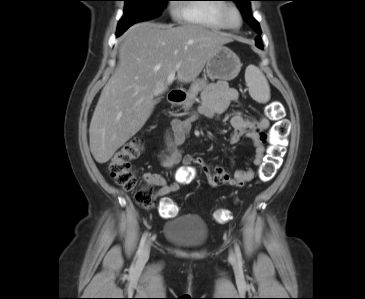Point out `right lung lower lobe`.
I'll use <instances>...</instances> for the list:
<instances>
[{
    "label": "right lung lower lobe",
    "mask_w": 365,
    "mask_h": 299,
    "mask_svg": "<svg viewBox=\"0 0 365 299\" xmlns=\"http://www.w3.org/2000/svg\"><path fill=\"white\" fill-rule=\"evenodd\" d=\"M133 25V24H132ZM131 25L119 26L116 36L119 37L123 32H125Z\"/></svg>",
    "instance_id": "98d812e1"
}]
</instances>
